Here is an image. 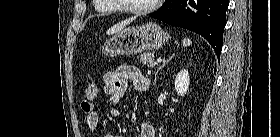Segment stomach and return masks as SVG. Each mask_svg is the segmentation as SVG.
I'll list each match as a JSON object with an SVG mask.
<instances>
[{
  "label": "stomach",
  "instance_id": "stomach-1",
  "mask_svg": "<svg viewBox=\"0 0 280 137\" xmlns=\"http://www.w3.org/2000/svg\"><path fill=\"white\" fill-rule=\"evenodd\" d=\"M169 35L156 23L128 27L107 40L102 53L108 57L135 55L146 50H159L169 40Z\"/></svg>",
  "mask_w": 280,
  "mask_h": 137
}]
</instances>
